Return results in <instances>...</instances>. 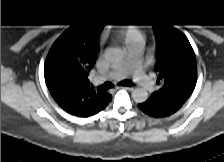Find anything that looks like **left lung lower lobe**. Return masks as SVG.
<instances>
[{
    "instance_id": "left-lung-lower-lobe-1",
    "label": "left lung lower lobe",
    "mask_w": 224,
    "mask_h": 162,
    "mask_svg": "<svg viewBox=\"0 0 224 162\" xmlns=\"http://www.w3.org/2000/svg\"><path fill=\"white\" fill-rule=\"evenodd\" d=\"M138 106L143 112L150 116L164 117L175 113L182 105L146 101L142 104H138Z\"/></svg>"
}]
</instances>
